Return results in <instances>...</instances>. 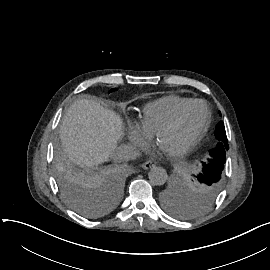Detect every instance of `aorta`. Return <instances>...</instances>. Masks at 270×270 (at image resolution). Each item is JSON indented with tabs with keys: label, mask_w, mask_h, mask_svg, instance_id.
Returning a JSON list of instances; mask_svg holds the SVG:
<instances>
[{
	"label": "aorta",
	"mask_w": 270,
	"mask_h": 270,
	"mask_svg": "<svg viewBox=\"0 0 270 270\" xmlns=\"http://www.w3.org/2000/svg\"><path fill=\"white\" fill-rule=\"evenodd\" d=\"M148 177H149L150 182L153 185H163L166 182L168 175H167V172L164 168L153 167L149 171Z\"/></svg>",
	"instance_id": "aorta-1"
}]
</instances>
